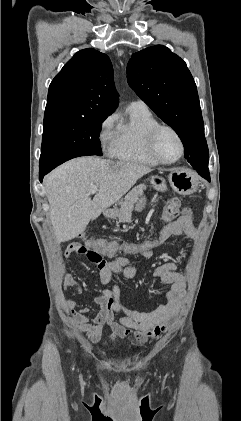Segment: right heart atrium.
I'll return each mask as SVG.
<instances>
[{
	"label": "right heart atrium",
	"mask_w": 241,
	"mask_h": 421,
	"mask_svg": "<svg viewBox=\"0 0 241 421\" xmlns=\"http://www.w3.org/2000/svg\"><path fill=\"white\" fill-rule=\"evenodd\" d=\"M115 120H116L115 115L110 114L107 117H105L100 124L99 140L103 148L111 147L113 137H114L113 126H114Z\"/></svg>",
	"instance_id": "right-heart-atrium-1"
}]
</instances>
